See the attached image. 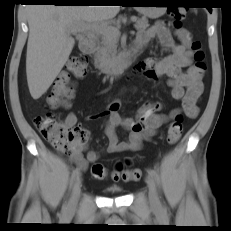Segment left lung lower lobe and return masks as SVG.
Returning a JSON list of instances; mask_svg holds the SVG:
<instances>
[{
  "label": "left lung lower lobe",
  "instance_id": "0a47b994",
  "mask_svg": "<svg viewBox=\"0 0 231 231\" xmlns=\"http://www.w3.org/2000/svg\"><path fill=\"white\" fill-rule=\"evenodd\" d=\"M207 9H208L210 12H212V8H211V7H207Z\"/></svg>",
  "mask_w": 231,
  "mask_h": 231
}]
</instances>
